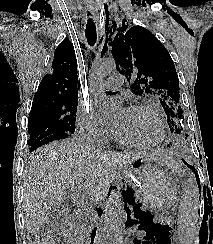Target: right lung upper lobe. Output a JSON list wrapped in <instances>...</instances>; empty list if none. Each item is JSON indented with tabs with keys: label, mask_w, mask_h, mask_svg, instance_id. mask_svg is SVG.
Returning <instances> with one entry per match:
<instances>
[{
	"label": "right lung upper lobe",
	"mask_w": 213,
	"mask_h": 244,
	"mask_svg": "<svg viewBox=\"0 0 213 244\" xmlns=\"http://www.w3.org/2000/svg\"><path fill=\"white\" fill-rule=\"evenodd\" d=\"M79 82L77 60L73 44L64 39L56 48L51 73L44 76L34 99L69 97L78 98Z\"/></svg>",
	"instance_id": "cb5924a9"
}]
</instances>
